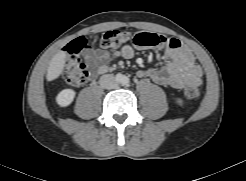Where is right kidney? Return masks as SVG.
I'll list each match as a JSON object with an SVG mask.
<instances>
[{
  "mask_svg": "<svg viewBox=\"0 0 246 181\" xmlns=\"http://www.w3.org/2000/svg\"><path fill=\"white\" fill-rule=\"evenodd\" d=\"M74 97V90L64 89L56 96V102L60 107H67L72 103Z\"/></svg>",
  "mask_w": 246,
  "mask_h": 181,
  "instance_id": "right-kidney-1",
  "label": "right kidney"
}]
</instances>
